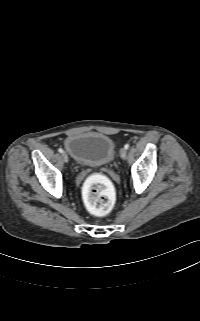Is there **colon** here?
<instances>
[{
	"label": "colon",
	"instance_id": "obj_1",
	"mask_svg": "<svg viewBox=\"0 0 200 321\" xmlns=\"http://www.w3.org/2000/svg\"><path fill=\"white\" fill-rule=\"evenodd\" d=\"M88 210L96 216L108 214L115 203V192L111 184L102 176H92L84 190Z\"/></svg>",
	"mask_w": 200,
	"mask_h": 321
}]
</instances>
